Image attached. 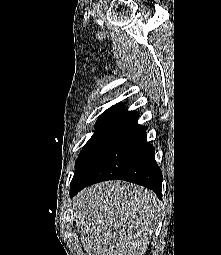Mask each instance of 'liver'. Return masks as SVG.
I'll return each mask as SVG.
<instances>
[{
    "label": "liver",
    "mask_w": 221,
    "mask_h": 255,
    "mask_svg": "<svg viewBox=\"0 0 221 255\" xmlns=\"http://www.w3.org/2000/svg\"><path fill=\"white\" fill-rule=\"evenodd\" d=\"M72 213L88 255H144L161 204L141 186L106 181L77 194Z\"/></svg>",
    "instance_id": "1"
}]
</instances>
